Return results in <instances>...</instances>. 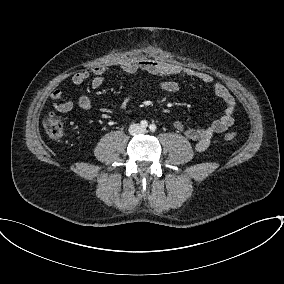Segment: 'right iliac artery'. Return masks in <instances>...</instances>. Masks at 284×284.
<instances>
[{"instance_id": "82829eb1", "label": "right iliac artery", "mask_w": 284, "mask_h": 284, "mask_svg": "<svg viewBox=\"0 0 284 284\" xmlns=\"http://www.w3.org/2000/svg\"><path fill=\"white\" fill-rule=\"evenodd\" d=\"M140 124L143 128H146L148 126V122L146 120H142Z\"/></svg>"}]
</instances>
